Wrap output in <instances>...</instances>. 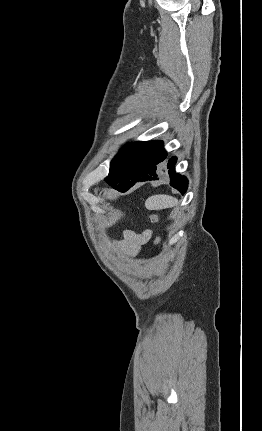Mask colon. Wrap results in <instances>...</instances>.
Returning a JSON list of instances; mask_svg holds the SVG:
<instances>
[{"label":"colon","mask_w":262,"mask_h":431,"mask_svg":"<svg viewBox=\"0 0 262 431\" xmlns=\"http://www.w3.org/2000/svg\"><path fill=\"white\" fill-rule=\"evenodd\" d=\"M151 220H152V221H155V220H156V217H155V216H152V217H151Z\"/></svg>","instance_id":"1"}]
</instances>
